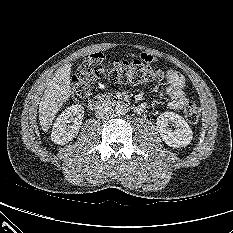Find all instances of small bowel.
<instances>
[{
	"mask_svg": "<svg viewBox=\"0 0 233 233\" xmlns=\"http://www.w3.org/2000/svg\"><path fill=\"white\" fill-rule=\"evenodd\" d=\"M143 59L145 61L151 62L153 60L152 56L150 55H143ZM166 80H167V87L162 95H166L170 101L168 102V108L172 110H180L182 109L187 103L188 98L184 92L185 88V79L177 71L169 70L166 73ZM98 87L100 89L104 88V85L101 83H98ZM144 109V107L142 106Z\"/></svg>",
	"mask_w": 233,
	"mask_h": 233,
	"instance_id": "1",
	"label": "small bowel"
}]
</instances>
